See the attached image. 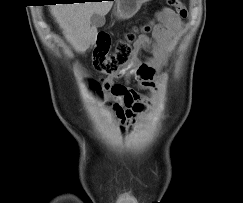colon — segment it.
<instances>
[{"instance_id":"obj_1","label":"colon","mask_w":243,"mask_h":203,"mask_svg":"<svg viewBox=\"0 0 243 203\" xmlns=\"http://www.w3.org/2000/svg\"><path fill=\"white\" fill-rule=\"evenodd\" d=\"M175 9L179 17L186 18L188 11L182 0H166ZM154 31L149 23H143L127 31L114 51H111L110 37L106 33L98 34L93 51L94 68L107 74H118L126 70L132 60V42L140 35H147ZM88 83L95 93H101L103 86L96 80L89 79Z\"/></svg>"}]
</instances>
